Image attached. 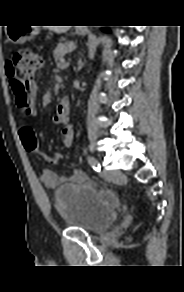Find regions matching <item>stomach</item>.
I'll return each instance as SVG.
<instances>
[{
    "instance_id": "stomach-1",
    "label": "stomach",
    "mask_w": 184,
    "mask_h": 292,
    "mask_svg": "<svg viewBox=\"0 0 184 292\" xmlns=\"http://www.w3.org/2000/svg\"><path fill=\"white\" fill-rule=\"evenodd\" d=\"M39 32L36 26H26L8 29V39L14 44H22L26 40L33 38Z\"/></svg>"
}]
</instances>
